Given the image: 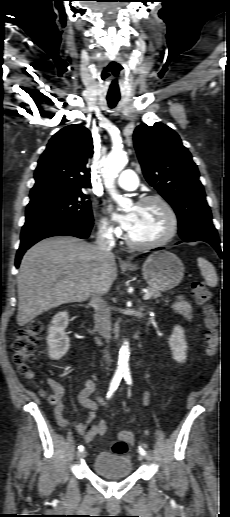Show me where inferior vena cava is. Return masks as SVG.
I'll return each instance as SVG.
<instances>
[{
	"instance_id": "602c4592",
	"label": "inferior vena cava",
	"mask_w": 230,
	"mask_h": 517,
	"mask_svg": "<svg viewBox=\"0 0 230 517\" xmlns=\"http://www.w3.org/2000/svg\"><path fill=\"white\" fill-rule=\"evenodd\" d=\"M96 246L103 256L111 255V250L115 246V239L108 227H102L99 229L96 238ZM102 285L95 283L93 285V294L91 303L95 307V323L98 333L105 339L106 343L110 342L111 339V321H110V310L107 303L101 298ZM104 359L107 364H110V356L108 349L104 350Z\"/></svg>"
}]
</instances>
